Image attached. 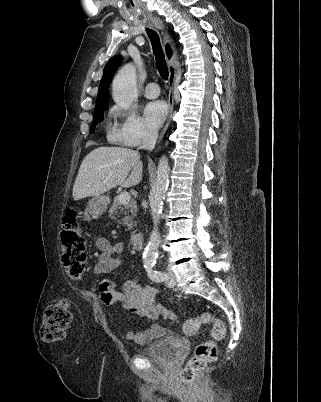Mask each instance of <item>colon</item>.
Returning a JSON list of instances; mask_svg holds the SVG:
<instances>
[{"label":"colon","instance_id":"1","mask_svg":"<svg viewBox=\"0 0 321 402\" xmlns=\"http://www.w3.org/2000/svg\"><path fill=\"white\" fill-rule=\"evenodd\" d=\"M61 243L67 275L73 279L80 278L86 262V238L74 210H68L64 217ZM71 320V303L68 299H59L50 304L44 313L41 327L42 340L52 344L64 339ZM205 324L210 325L214 339L220 340L225 337L226 328L223 321L210 313H203L198 317L188 319L183 325V330L186 333H195L201 325ZM217 357L218 347L213 340H204L199 343L181 372L183 382L193 385L206 366L216 361Z\"/></svg>","mask_w":321,"mask_h":402}]
</instances>
